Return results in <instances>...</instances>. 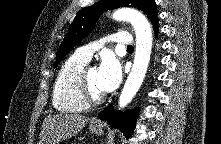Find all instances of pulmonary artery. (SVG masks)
Masks as SVG:
<instances>
[{
	"label": "pulmonary artery",
	"instance_id": "pulmonary-artery-1",
	"mask_svg": "<svg viewBox=\"0 0 221 144\" xmlns=\"http://www.w3.org/2000/svg\"><path fill=\"white\" fill-rule=\"evenodd\" d=\"M105 41L115 42L120 45L128 46L132 43V37L128 32L120 31L106 37L103 41L90 43L88 45L78 48L76 54L79 55L84 60L89 61L92 55L94 54V52H96L103 45Z\"/></svg>",
	"mask_w": 221,
	"mask_h": 144
}]
</instances>
